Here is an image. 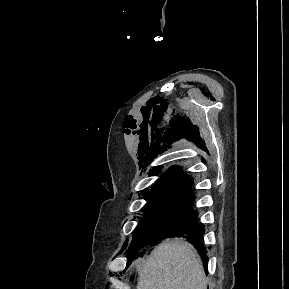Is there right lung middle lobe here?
Segmentation results:
<instances>
[{
	"instance_id": "1",
	"label": "right lung middle lobe",
	"mask_w": 289,
	"mask_h": 289,
	"mask_svg": "<svg viewBox=\"0 0 289 289\" xmlns=\"http://www.w3.org/2000/svg\"><path fill=\"white\" fill-rule=\"evenodd\" d=\"M193 201V197L188 195L151 198L130 247L146 238L173 236L179 232L194 214Z\"/></svg>"
}]
</instances>
